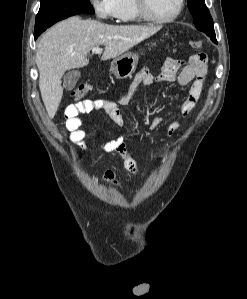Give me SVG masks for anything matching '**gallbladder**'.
Segmentation results:
<instances>
[{
	"mask_svg": "<svg viewBox=\"0 0 247 299\" xmlns=\"http://www.w3.org/2000/svg\"><path fill=\"white\" fill-rule=\"evenodd\" d=\"M80 78V72L73 70L68 71L63 77V86L66 90H72L78 79Z\"/></svg>",
	"mask_w": 247,
	"mask_h": 299,
	"instance_id": "gallbladder-1",
	"label": "gallbladder"
}]
</instances>
